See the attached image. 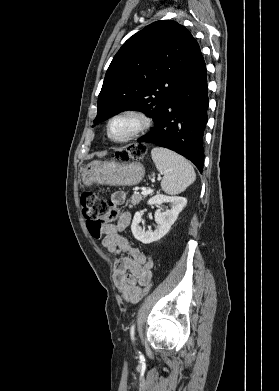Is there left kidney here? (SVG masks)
Here are the masks:
<instances>
[{
    "instance_id": "obj_1",
    "label": "left kidney",
    "mask_w": 279,
    "mask_h": 391,
    "mask_svg": "<svg viewBox=\"0 0 279 391\" xmlns=\"http://www.w3.org/2000/svg\"><path fill=\"white\" fill-rule=\"evenodd\" d=\"M163 203H168L171 209L163 213L160 211L155 213V221L158 225L154 231L150 229L145 231V229H142L140 227L142 215L139 212L135 213L131 231L138 241L144 244H150L165 236L176 221L179 213L186 206L187 200L181 196H166L163 194H157L148 200L149 205H161Z\"/></svg>"
}]
</instances>
